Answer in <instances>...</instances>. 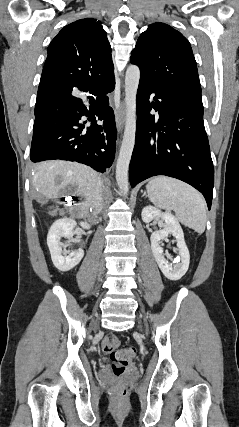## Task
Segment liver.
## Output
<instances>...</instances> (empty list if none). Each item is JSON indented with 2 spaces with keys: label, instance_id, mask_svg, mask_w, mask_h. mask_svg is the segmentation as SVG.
Listing matches in <instances>:
<instances>
[{
  "label": "liver",
  "instance_id": "1",
  "mask_svg": "<svg viewBox=\"0 0 239 427\" xmlns=\"http://www.w3.org/2000/svg\"><path fill=\"white\" fill-rule=\"evenodd\" d=\"M101 178L99 174L89 166L77 163L48 161L35 166L33 184L38 193V201L44 203L46 199H57L66 193V188H75V196L82 195L85 198L79 209V216L87 215L91 206L95 213L99 212L95 203Z\"/></svg>",
  "mask_w": 239,
  "mask_h": 427
}]
</instances>
